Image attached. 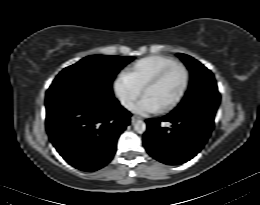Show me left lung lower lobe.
<instances>
[{
  "label": "left lung lower lobe",
  "mask_w": 260,
  "mask_h": 205,
  "mask_svg": "<svg viewBox=\"0 0 260 205\" xmlns=\"http://www.w3.org/2000/svg\"><path fill=\"white\" fill-rule=\"evenodd\" d=\"M161 122H170L171 128ZM143 142L147 152L158 161L178 165L192 159L203 148L214 126V116L199 110L172 111L148 119Z\"/></svg>",
  "instance_id": "obj_1"
}]
</instances>
